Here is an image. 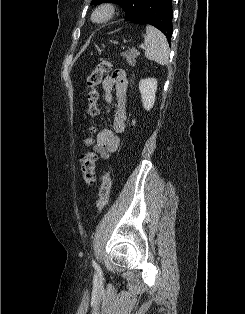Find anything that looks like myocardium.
Here are the masks:
<instances>
[{
  "label": "myocardium",
  "mask_w": 245,
  "mask_h": 314,
  "mask_svg": "<svg viewBox=\"0 0 245 314\" xmlns=\"http://www.w3.org/2000/svg\"><path fill=\"white\" fill-rule=\"evenodd\" d=\"M116 14V6L111 2L99 4L93 11L91 19L95 23H106ZM100 16V17H99Z\"/></svg>",
  "instance_id": "1"
}]
</instances>
